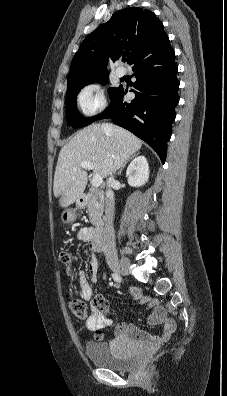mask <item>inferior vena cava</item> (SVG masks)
Segmentation results:
<instances>
[{
    "instance_id": "obj_1",
    "label": "inferior vena cava",
    "mask_w": 227,
    "mask_h": 396,
    "mask_svg": "<svg viewBox=\"0 0 227 396\" xmlns=\"http://www.w3.org/2000/svg\"><path fill=\"white\" fill-rule=\"evenodd\" d=\"M104 130H110L108 124L102 125ZM116 183L114 176H111L107 180V191L105 200V227L103 233V250L107 257L116 255V244H115V234L113 228V214H114V192L111 188Z\"/></svg>"
}]
</instances>
